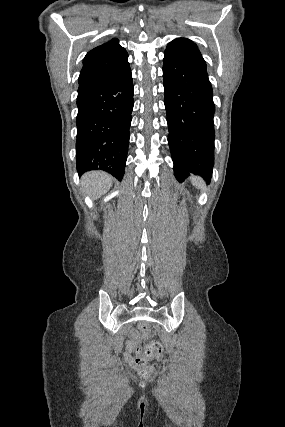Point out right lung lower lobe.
<instances>
[{"instance_id": "1", "label": "right lung lower lobe", "mask_w": 285, "mask_h": 427, "mask_svg": "<svg viewBox=\"0 0 285 427\" xmlns=\"http://www.w3.org/2000/svg\"><path fill=\"white\" fill-rule=\"evenodd\" d=\"M133 95L131 71L78 90L76 165L80 175L100 169L123 178Z\"/></svg>"}]
</instances>
